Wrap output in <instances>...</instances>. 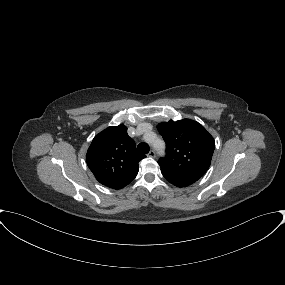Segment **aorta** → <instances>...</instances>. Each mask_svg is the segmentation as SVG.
<instances>
[{
  "label": "aorta",
  "instance_id": "1",
  "mask_svg": "<svg viewBox=\"0 0 285 285\" xmlns=\"http://www.w3.org/2000/svg\"><path fill=\"white\" fill-rule=\"evenodd\" d=\"M155 137V141L153 142V147L158 151L159 154L164 152L165 143L163 140L156 137L155 134H152Z\"/></svg>",
  "mask_w": 285,
  "mask_h": 285
}]
</instances>
